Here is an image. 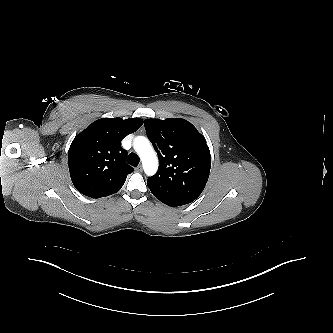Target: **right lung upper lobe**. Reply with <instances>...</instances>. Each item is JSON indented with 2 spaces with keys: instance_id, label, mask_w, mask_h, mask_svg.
Instances as JSON below:
<instances>
[{
  "instance_id": "right-lung-upper-lobe-1",
  "label": "right lung upper lobe",
  "mask_w": 333,
  "mask_h": 333,
  "mask_svg": "<svg viewBox=\"0 0 333 333\" xmlns=\"http://www.w3.org/2000/svg\"><path fill=\"white\" fill-rule=\"evenodd\" d=\"M143 124L140 118H101L78 134L68 152L75 188L91 198L118 192L133 168L126 163L121 141Z\"/></svg>"
}]
</instances>
